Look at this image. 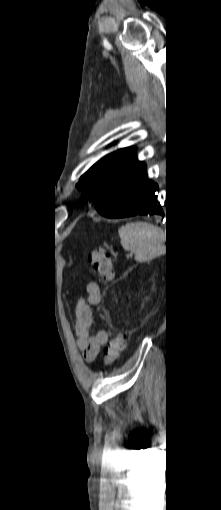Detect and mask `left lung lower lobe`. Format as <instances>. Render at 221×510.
Listing matches in <instances>:
<instances>
[{
    "instance_id": "left-lung-lower-lobe-1",
    "label": "left lung lower lobe",
    "mask_w": 221,
    "mask_h": 510,
    "mask_svg": "<svg viewBox=\"0 0 221 510\" xmlns=\"http://www.w3.org/2000/svg\"><path fill=\"white\" fill-rule=\"evenodd\" d=\"M158 186L146 177L143 170L107 206L97 212L107 218H125L135 215H164L157 205Z\"/></svg>"
}]
</instances>
